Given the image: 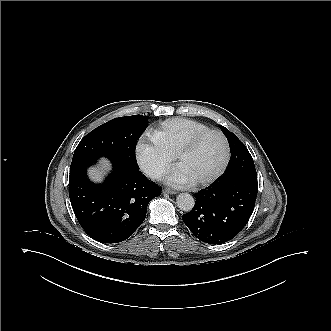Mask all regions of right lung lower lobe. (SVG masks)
Returning <instances> with one entry per match:
<instances>
[{
	"label": "right lung lower lobe",
	"mask_w": 331,
	"mask_h": 331,
	"mask_svg": "<svg viewBox=\"0 0 331 331\" xmlns=\"http://www.w3.org/2000/svg\"><path fill=\"white\" fill-rule=\"evenodd\" d=\"M94 162L70 167L69 196L84 231L103 243L129 238L146 217L147 205L161 187L140 171L113 162V171L102 184L92 183L86 169Z\"/></svg>",
	"instance_id": "obj_1"
}]
</instances>
